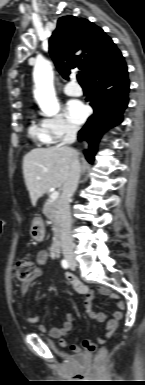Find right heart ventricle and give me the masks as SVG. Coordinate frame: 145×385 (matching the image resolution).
<instances>
[{"instance_id":"right-heart-ventricle-1","label":"right heart ventricle","mask_w":145,"mask_h":385,"mask_svg":"<svg viewBox=\"0 0 145 385\" xmlns=\"http://www.w3.org/2000/svg\"><path fill=\"white\" fill-rule=\"evenodd\" d=\"M29 135L32 139L40 143H47V136L42 127V124H37L35 121L30 123L28 128Z\"/></svg>"}]
</instances>
